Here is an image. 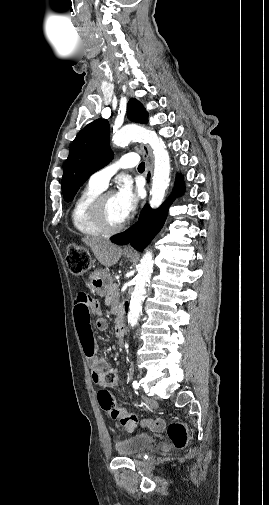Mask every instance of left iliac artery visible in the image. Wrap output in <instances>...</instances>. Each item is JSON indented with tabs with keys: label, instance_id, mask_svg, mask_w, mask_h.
Returning <instances> with one entry per match:
<instances>
[{
	"label": "left iliac artery",
	"instance_id": "left-iliac-artery-1",
	"mask_svg": "<svg viewBox=\"0 0 269 505\" xmlns=\"http://www.w3.org/2000/svg\"><path fill=\"white\" fill-rule=\"evenodd\" d=\"M132 385H133L134 389H139V387H140V384L137 381H133Z\"/></svg>",
	"mask_w": 269,
	"mask_h": 505
}]
</instances>
